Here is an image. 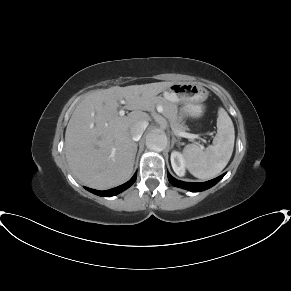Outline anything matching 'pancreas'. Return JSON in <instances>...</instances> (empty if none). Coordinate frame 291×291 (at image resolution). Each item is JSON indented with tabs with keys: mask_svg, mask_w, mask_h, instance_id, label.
<instances>
[{
	"mask_svg": "<svg viewBox=\"0 0 291 291\" xmlns=\"http://www.w3.org/2000/svg\"><path fill=\"white\" fill-rule=\"evenodd\" d=\"M156 106H161L163 108L162 114L166 119H168L173 130L181 132H185L187 130V127L184 126L181 119L178 117V107L176 104L161 96H158L153 99L149 109H153Z\"/></svg>",
	"mask_w": 291,
	"mask_h": 291,
	"instance_id": "cf45deb5",
	"label": "pancreas"
}]
</instances>
